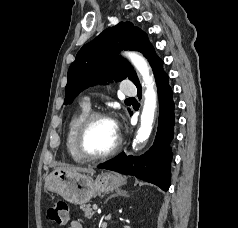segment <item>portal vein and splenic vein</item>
<instances>
[{
    "label": "portal vein and splenic vein",
    "instance_id": "18ae733b",
    "mask_svg": "<svg viewBox=\"0 0 238 228\" xmlns=\"http://www.w3.org/2000/svg\"><path fill=\"white\" fill-rule=\"evenodd\" d=\"M93 209H94V210H97V209H98V207H97L96 204L93 205Z\"/></svg>",
    "mask_w": 238,
    "mask_h": 228
}]
</instances>
